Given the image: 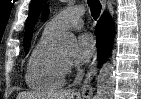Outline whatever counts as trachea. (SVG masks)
<instances>
[{
	"label": "trachea",
	"instance_id": "trachea-1",
	"mask_svg": "<svg viewBox=\"0 0 141 99\" xmlns=\"http://www.w3.org/2000/svg\"><path fill=\"white\" fill-rule=\"evenodd\" d=\"M88 5L90 7L92 17L97 19L101 12L100 2L98 0H88Z\"/></svg>",
	"mask_w": 141,
	"mask_h": 99
}]
</instances>
